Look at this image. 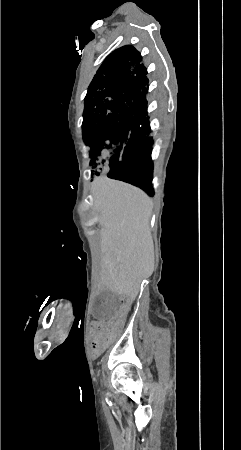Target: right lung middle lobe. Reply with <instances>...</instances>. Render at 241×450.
Instances as JSON below:
<instances>
[{
	"label": "right lung middle lobe",
	"mask_w": 241,
	"mask_h": 450,
	"mask_svg": "<svg viewBox=\"0 0 241 450\" xmlns=\"http://www.w3.org/2000/svg\"><path fill=\"white\" fill-rule=\"evenodd\" d=\"M147 114V101L121 98L112 86L91 83L85 97L83 139L91 147L92 172L110 171L143 139L134 125Z\"/></svg>",
	"instance_id": "dd1d6c3e"
}]
</instances>
